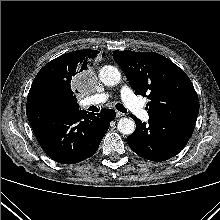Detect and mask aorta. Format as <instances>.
<instances>
[{
    "instance_id": "aorta-1",
    "label": "aorta",
    "mask_w": 220,
    "mask_h": 220,
    "mask_svg": "<svg viewBox=\"0 0 220 220\" xmlns=\"http://www.w3.org/2000/svg\"><path fill=\"white\" fill-rule=\"evenodd\" d=\"M99 78L106 86L117 85L121 80L119 70L111 65L103 66L99 71ZM118 131L124 135H131L135 131V122L131 118H121L117 124Z\"/></svg>"
}]
</instances>
